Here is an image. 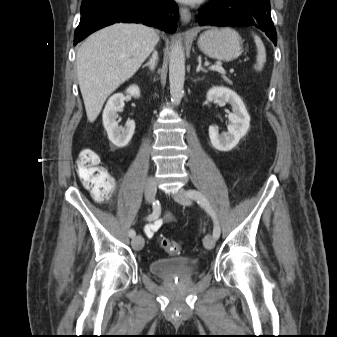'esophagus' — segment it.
<instances>
[{
    "instance_id": "esophagus-1",
    "label": "esophagus",
    "mask_w": 337,
    "mask_h": 337,
    "mask_svg": "<svg viewBox=\"0 0 337 337\" xmlns=\"http://www.w3.org/2000/svg\"><path fill=\"white\" fill-rule=\"evenodd\" d=\"M180 17L184 24H188L191 20V12L188 8L180 7Z\"/></svg>"
}]
</instances>
